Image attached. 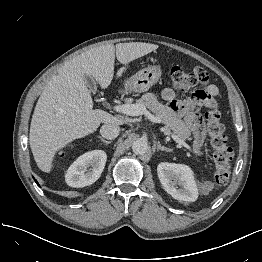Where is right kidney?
Wrapping results in <instances>:
<instances>
[{
    "label": "right kidney",
    "instance_id": "ca27d5eb",
    "mask_svg": "<svg viewBox=\"0 0 262 262\" xmlns=\"http://www.w3.org/2000/svg\"><path fill=\"white\" fill-rule=\"evenodd\" d=\"M107 155L102 150H93L81 155L65 174L66 183L75 188L93 184L105 167Z\"/></svg>",
    "mask_w": 262,
    "mask_h": 262
}]
</instances>
